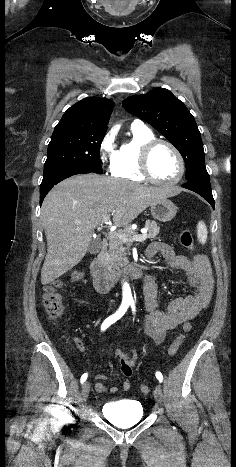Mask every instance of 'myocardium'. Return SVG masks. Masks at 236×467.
Listing matches in <instances>:
<instances>
[{
	"mask_svg": "<svg viewBox=\"0 0 236 467\" xmlns=\"http://www.w3.org/2000/svg\"><path fill=\"white\" fill-rule=\"evenodd\" d=\"M159 145H165V146L169 147L174 152V154L176 155V157H177V159L179 161L180 171H179L178 176L174 180H171V181L159 180L153 175V173L151 171V167H150L151 155H152L154 149ZM139 170H140L141 174L148 181H150L152 183H155V184H158V185H175V184L179 183L183 179V177L185 175V171H186V165H185V160L183 158V155L181 154V152L178 150V148L173 143H171L168 140L153 138L151 140L146 141L140 148V151H139Z\"/></svg>",
	"mask_w": 236,
	"mask_h": 467,
	"instance_id": "1",
	"label": "myocardium"
}]
</instances>
